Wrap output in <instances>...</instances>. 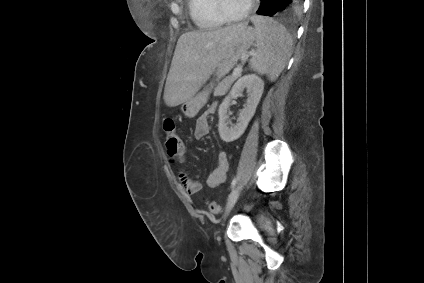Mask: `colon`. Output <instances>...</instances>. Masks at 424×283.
<instances>
[{
    "label": "colon",
    "instance_id": "colon-1",
    "mask_svg": "<svg viewBox=\"0 0 424 283\" xmlns=\"http://www.w3.org/2000/svg\"><path fill=\"white\" fill-rule=\"evenodd\" d=\"M163 131L165 135V145L171 146L170 155L181 154L183 152V142L177 133L176 123L172 118H167L163 123ZM209 212L219 214L221 207L214 201L207 203Z\"/></svg>",
    "mask_w": 424,
    "mask_h": 283
}]
</instances>
